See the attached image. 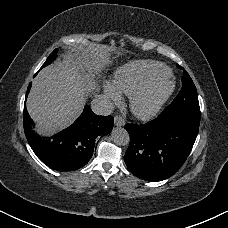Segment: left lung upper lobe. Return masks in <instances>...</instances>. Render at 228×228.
Listing matches in <instances>:
<instances>
[{"label":"left lung upper lobe","mask_w":228,"mask_h":228,"mask_svg":"<svg viewBox=\"0 0 228 228\" xmlns=\"http://www.w3.org/2000/svg\"><path fill=\"white\" fill-rule=\"evenodd\" d=\"M177 66L182 69L179 65ZM161 117L165 119H184L200 122V107L196 87L185 70L182 78L181 91L173 102L164 109Z\"/></svg>","instance_id":"obj_1"}]
</instances>
